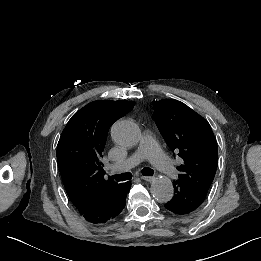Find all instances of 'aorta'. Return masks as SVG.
I'll use <instances>...</instances> for the list:
<instances>
[{
    "instance_id": "762f6f07",
    "label": "aorta",
    "mask_w": 261,
    "mask_h": 261,
    "mask_svg": "<svg viewBox=\"0 0 261 261\" xmlns=\"http://www.w3.org/2000/svg\"><path fill=\"white\" fill-rule=\"evenodd\" d=\"M111 136L115 143L123 147L136 145L141 138L139 127L131 121H117L111 128ZM151 194L159 202L166 203L174 195L172 181L166 176H158L151 184Z\"/></svg>"
}]
</instances>
